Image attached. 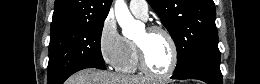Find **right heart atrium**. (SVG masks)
<instances>
[{
    "label": "right heart atrium",
    "mask_w": 260,
    "mask_h": 84,
    "mask_svg": "<svg viewBox=\"0 0 260 84\" xmlns=\"http://www.w3.org/2000/svg\"><path fill=\"white\" fill-rule=\"evenodd\" d=\"M98 50L103 61L111 67H116L123 56L124 37L120 35L112 16H107L101 24Z\"/></svg>",
    "instance_id": "right-heart-atrium-1"
}]
</instances>
